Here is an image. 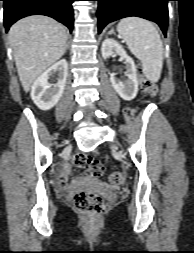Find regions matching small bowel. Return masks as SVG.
<instances>
[{
	"mask_svg": "<svg viewBox=\"0 0 194 253\" xmlns=\"http://www.w3.org/2000/svg\"><path fill=\"white\" fill-rule=\"evenodd\" d=\"M70 172V166L66 164L61 171V173L57 177V184L60 188L67 189L68 184H67V177Z\"/></svg>",
	"mask_w": 194,
	"mask_h": 253,
	"instance_id": "1",
	"label": "small bowel"
}]
</instances>
